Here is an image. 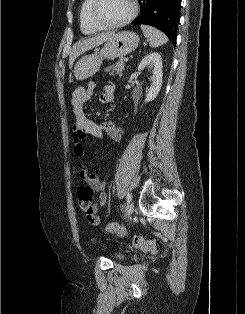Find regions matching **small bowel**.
<instances>
[{"instance_id": "small-bowel-1", "label": "small bowel", "mask_w": 245, "mask_h": 314, "mask_svg": "<svg viewBox=\"0 0 245 314\" xmlns=\"http://www.w3.org/2000/svg\"><path fill=\"white\" fill-rule=\"evenodd\" d=\"M96 84L89 82L86 86H78L72 93L71 105L75 118L73 127V153L77 157L84 154V140L91 136L98 139H104L106 136L119 142L122 139V129L112 122L97 123L88 119L84 113L86 103L91 99ZM115 98L114 86L108 84L100 94L101 103H111ZM79 176L89 184L98 193V202L93 205V211L86 214V218L92 225H99L101 218L97 215L98 205L105 206L107 201L106 182L101 181L98 175L91 173L83 163H80L78 169Z\"/></svg>"}]
</instances>
